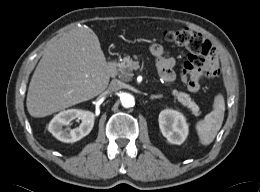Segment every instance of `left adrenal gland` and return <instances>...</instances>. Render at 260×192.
<instances>
[{"mask_svg":"<svg viewBox=\"0 0 260 192\" xmlns=\"http://www.w3.org/2000/svg\"><path fill=\"white\" fill-rule=\"evenodd\" d=\"M162 97H163V95H151L150 99L154 100V99H159V98H162Z\"/></svg>","mask_w":260,"mask_h":192,"instance_id":"1","label":"left adrenal gland"}]
</instances>
